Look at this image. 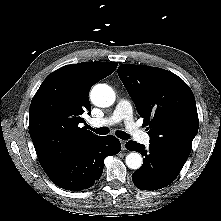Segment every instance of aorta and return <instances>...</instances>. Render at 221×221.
<instances>
[{"mask_svg": "<svg viewBox=\"0 0 221 221\" xmlns=\"http://www.w3.org/2000/svg\"><path fill=\"white\" fill-rule=\"evenodd\" d=\"M91 101L98 107H109L115 101L113 89L106 84L95 85L90 93ZM142 156L137 152H131L126 156L125 162L128 168L137 170L142 166Z\"/></svg>", "mask_w": 221, "mask_h": 221, "instance_id": "aorta-1", "label": "aorta"}]
</instances>
